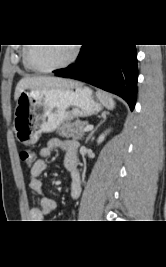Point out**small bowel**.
<instances>
[{
  "label": "small bowel",
  "mask_w": 166,
  "mask_h": 267,
  "mask_svg": "<svg viewBox=\"0 0 166 267\" xmlns=\"http://www.w3.org/2000/svg\"><path fill=\"white\" fill-rule=\"evenodd\" d=\"M77 147L74 140L51 139L46 146L40 149L39 155L42 158L49 157L55 149H61L64 154V166L71 175V197L76 199L81 189L80 174L77 169ZM46 163L43 159L36 160L30 169L29 186L38 195V204L30 209L29 217L35 222H41L49 216L57 207L56 202L45 196L43 183L40 175L45 171Z\"/></svg>",
  "instance_id": "c3829d8e"
}]
</instances>
